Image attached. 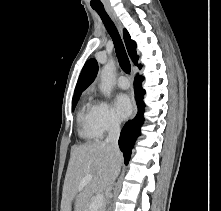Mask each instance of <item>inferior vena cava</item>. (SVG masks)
Wrapping results in <instances>:
<instances>
[{
	"instance_id": "1",
	"label": "inferior vena cava",
	"mask_w": 221,
	"mask_h": 211,
	"mask_svg": "<svg viewBox=\"0 0 221 211\" xmlns=\"http://www.w3.org/2000/svg\"><path fill=\"white\" fill-rule=\"evenodd\" d=\"M119 135H120V124L117 120H112L109 130H108V136L105 139V143L108 144L114 150V152H116L118 154L120 153L119 146H118ZM119 171H120V166H117L113 172L112 177H111L108 191L111 190L112 185H113L116 177L119 174ZM107 211H110V209L108 208Z\"/></svg>"
}]
</instances>
